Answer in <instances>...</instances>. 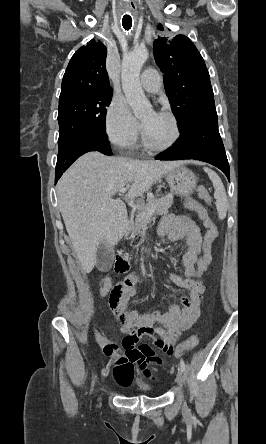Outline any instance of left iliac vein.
<instances>
[{
    "mask_svg": "<svg viewBox=\"0 0 266 444\" xmlns=\"http://www.w3.org/2000/svg\"><path fill=\"white\" fill-rule=\"evenodd\" d=\"M176 382L178 384V387L181 390L183 387V384H184V373H183L182 369H179L176 374Z\"/></svg>",
    "mask_w": 266,
    "mask_h": 444,
    "instance_id": "4c4485c4",
    "label": "left iliac vein"
}]
</instances>
